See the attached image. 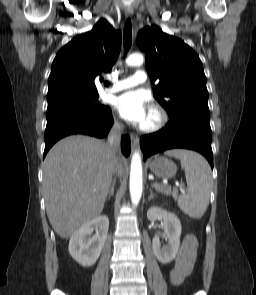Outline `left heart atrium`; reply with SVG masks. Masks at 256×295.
<instances>
[{
	"mask_svg": "<svg viewBox=\"0 0 256 295\" xmlns=\"http://www.w3.org/2000/svg\"><path fill=\"white\" fill-rule=\"evenodd\" d=\"M114 106L124 119L137 125H143L150 114L146 96L137 91L121 94L115 99Z\"/></svg>",
	"mask_w": 256,
	"mask_h": 295,
	"instance_id": "obj_1",
	"label": "left heart atrium"
}]
</instances>
